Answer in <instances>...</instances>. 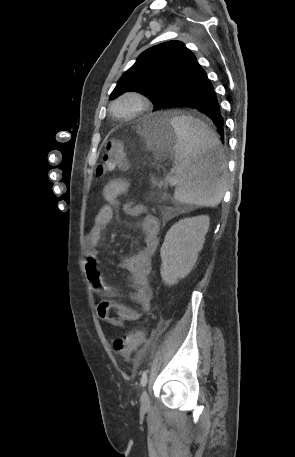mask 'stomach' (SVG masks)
Instances as JSON below:
<instances>
[{
	"label": "stomach",
	"instance_id": "1",
	"mask_svg": "<svg viewBox=\"0 0 295 457\" xmlns=\"http://www.w3.org/2000/svg\"><path fill=\"white\" fill-rule=\"evenodd\" d=\"M140 132L148 146L153 149H158L164 145L172 148L178 143V137L171 119L164 115L147 116L140 126Z\"/></svg>",
	"mask_w": 295,
	"mask_h": 457
}]
</instances>
